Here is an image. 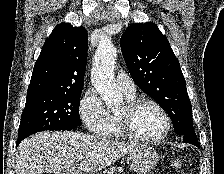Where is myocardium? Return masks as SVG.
<instances>
[{
	"label": "myocardium",
	"mask_w": 224,
	"mask_h": 174,
	"mask_svg": "<svg viewBox=\"0 0 224 174\" xmlns=\"http://www.w3.org/2000/svg\"><path fill=\"white\" fill-rule=\"evenodd\" d=\"M143 104H150L154 106L164 118L165 121L164 130L160 135L156 137L141 136L137 132H135V130L132 127L131 116L135 112V110ZM116 119L120 131L124 137L144 143H157L162 141L167 137L172 126L170 116L164 109V107L156 100L147 97L132 98L127 100L126 103L124 104L123 112L116 113Z\"/></svg>",
	"instance_id": "1"
}]
</instances>
